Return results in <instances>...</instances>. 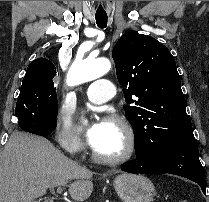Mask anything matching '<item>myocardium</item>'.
<instances>
[{
    "mask_svg": "<svg viewBox=\"0 0 209 202\" xmlns=\"http://www.w3.org/2000/svg\"><path fill=\"white\" fill-rule=\"evenodd\" d=\"M106 121L115 123L122 129L126 139L125 148L120 154L115 156L102 155L92 148V158L98 163L108 165H116L130 160L134 156L137 148L136 136L132 126L126 118L119 115H110L106 118Z\"/></svg>",
    "mask_w": 209,
    "mask_h": 202,
    "instance_id": "1",
    "label": "myocardium"
}]
</instances>
